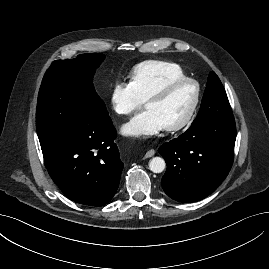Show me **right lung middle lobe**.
<instances>
[{"label": "right lung middle lobe", "instance_id": "1", "mask_svg": "<svg viewBox=\"0 0 269 269\" xmlns=\"http://www.w3.org/2000/svg\"><path fill=\"white\" fill-rule=\"evenodd\" d=\"M104 58V54H81L73 60L55 61L47 70L36 110L40 144L87 125L111 121L93 85L95 71Z\"/></svg>", "mask_w": 269, "mask_h": 269}]
</instances>
